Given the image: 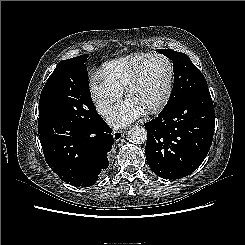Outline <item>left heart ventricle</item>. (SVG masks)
I'll return each instance as SVG.
<instances>
[{
	"mask_svg": "<svg viewBox=\"0 0 245 245\" xmlns=\"http://www.w3.org/2000/svg\"><path fill=\"white\" fill-rule=\"evenodd\" d=\"M167 81V63L161 58L151 59L145 68L141 80L130 91L128 98L146 110L161 98Z\"/></svg>",
	"mask_w": 245,
	"mask_h": 245,
	"instance_id": "b2bd125f",
	"label": "left heart ventricle"
}]
</instances>
